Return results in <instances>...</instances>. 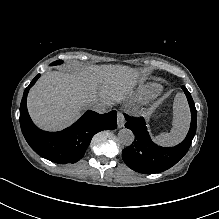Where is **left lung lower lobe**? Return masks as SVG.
Instances as JSON below:
<instances>
[{"label": "left lung lower lobe", "instance_id": "0a47b994", "mask_svg": "<svg viewBox=\"0 0 219 219\" xmlns=\"http://www.w3.org/2000/svg\"><path fill=\"white\" fill-rule=\"evenodd\" d=\"M182 89L189 102L191 125L186 138L175 147L156 145L152 142L142 117L124 115L127 121L125 127L135 135L134 143L122 151V158L129 168L143 174L159 173L174 166L187 153L196 133L197 111L187 88L182 86Z\"/></svg>", "mask_w": 219, "mask_h": 219}]
</instances>
